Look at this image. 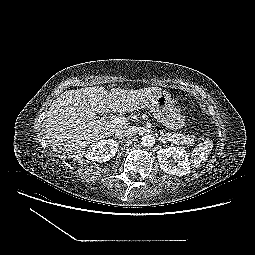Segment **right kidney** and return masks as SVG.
I'll return each mask as SVG.
<instances>
[{"label":"right kidney","instance_id":"1","mask_svg":"<svg viewBox=\"0 0 255 255\" xmlns=\"http://www.w3.org/2000/svg\"><path fill=\"white\" fill-rule=\"evenodd\" d=\"M118 143L113 139H102L92 143L85 151L84 156L92 162H106L115 156Z\"/></svg>","mask_w":255,"mask_h":255}]
</instances>
